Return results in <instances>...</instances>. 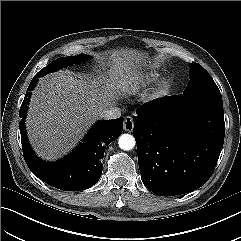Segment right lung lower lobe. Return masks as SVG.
I'll list each match as a JSON object with an SVG mask.
<instances>
[{
    "label": "right lung lower lobe",
    "mask_w": 241,
    "mask_h": 241,
    "mask_svg": "<svg viewBox=\"0 0 241 241\" xmlns=\"http://www.w3.org/2000/svg\"><path fill=\"white\" fill-rule=\"evenodd\" d=\"M32 79L20 107L19 122L24 159L35 176L45 183L64 191L85 190L95 185L101 174V159L108 144L117 139L123 130L121 118L99 121L90 130L83 142L67 157L56 162H44L33 153L26 136L24 117L30 99V91L37 78Z\"/></svg>",
    "instance_id": "98d812e1"
}]
</instances>
